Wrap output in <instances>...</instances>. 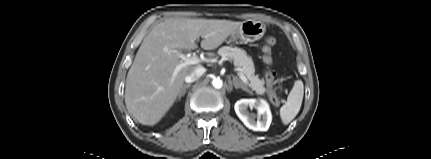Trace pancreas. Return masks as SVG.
I'll return each mask as SVG.
<instances>
[{"mask_svg":"<svg viewBox=\"0 0 431 159\" xmlns=\"http://www.w3.org/2000/svg\"><path fill=\"white\" fill-rule=\"evenodd\" d=\"M218 54L225 59L234 61V64L241 69V73L248 78L249 86L256 94L264 95L267 93L270 99L274 96L270 89L264 87L265 81L254 74L255 68L252 58L247 55L245 50L238 47L223 46L218 50Z\"/></svg>","mask_w":431,"mask_h":159,"instance_id":"pancreas-1","label":"pancreas"}]
</instances>
